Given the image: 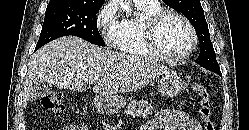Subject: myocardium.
<instances>
[{"label": "myocardium", "mask_w": 249, "mask_h": 130, "mask_svg": "<svg viewBox=\"0 0 249 130\" xmlns=\"http://www.w3.org/2000/svg\"><path fill=\"white\" fill-rule=\"evenodd\" d=\"M168 17H176L180 19L187 27L190 33V44L187 50L178 56H171L162 51L158 43V29L161 23ZM144 39L150 53L165 62L179 63L188 59L198 44V36L192 22L182 13L175 10H160L149 16L144 22Z\"/></svg>", "instance_id": "obj_1"}]
</instances>
